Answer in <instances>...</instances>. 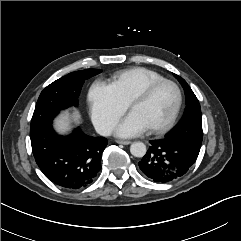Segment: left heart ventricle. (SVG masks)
Wrapping results in <instances>:
<instances>
[{
	"label": "left heart ventricle",
	"instance_id": "b2bd125f",
	"mask_svg": "<svg viewBox=\"0 0 241 241\" xmlns=\"http://www.w3.org/2000/svg\"><path fill=\"white\" fill-rule=\"evenodd\" d=\"M176 102V90L173 86L165 84L158 87L146 101L134 105L131 111L152 128L161 126L170 119Z\"/></svg>",
	"mask_w": 241,
	"mask_h": 241
}]
</instances>
